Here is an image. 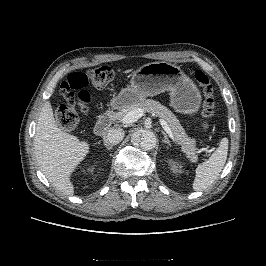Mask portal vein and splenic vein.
<instances>
[{
    "label": "portal vein and splenic vein",
    "mask_w": 266,
    "mask_h": 266,
    "mask_svg": "<svg viewBox=\"0 0 266 266\" xmlns=\"http://www.w3.org/2000/svg\"><path fill=\"white\" fill-rule=\"evenodd\" d=\"M143 116V110L140 108L134 109L130 112H128L124 118L122 119V123L123 124H130V123H134L136 122L139 118H141ZM160 123L163 127V129L166 131V133L168 134V136L175 142V138L174 135L171 131V128L169 127V125L167 124V122L165 120H160Z\"/></svg>",
    "instance_id": "portal-vein-and-splenic-vein-1"
}]
</instances>
